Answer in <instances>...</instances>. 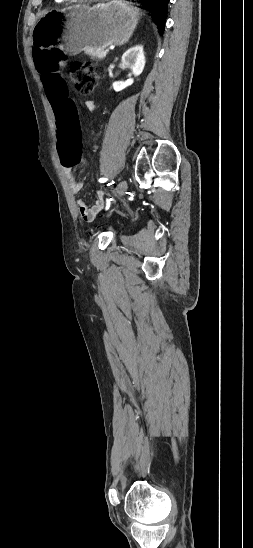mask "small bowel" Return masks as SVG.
I'll return each mask as SVG.
<instances>
[{
	"mask_svg": "<svg viewBox=\"0 0 253 548\" xmlns=\"http://www.w3.org/2000/svg\"><path fill=\"white\" fill-rule=\"evenodd\" d=\"M50 60H64V59L61 58L60 56H58V57L50 59ZM35 62H36V60H35ZM85 106H86L87 109L93 110L94 107H95V103L92 100H87L85 102ZM51 107H52V110H53V105H51ZM62 168H63L64 174H65L66 180H67L68 184L70 185L72 193L77 196L81 192L82 183L76 180V178H75V176L72 172V169H71L72 166H63L62 165ZM76 205L78 207V210H79V213H80L81 217L85 221H92L95 218V216L99 213V211L101 210V208L103 206V202L101 200H97L94 203V205L88 206L87 203L85 202V200H83L82 198H77L76 199Z\"/></svg>",
	"mask_w": 253,
	"mask_h": 548,
	"instance_id": "small-bowel-1",
	"label": "small bowel"
}]
</instances>
